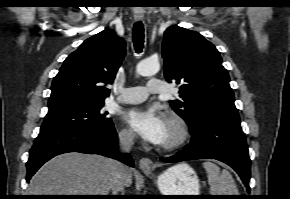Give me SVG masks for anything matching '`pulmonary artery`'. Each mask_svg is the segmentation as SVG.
Instances as JSON below:
<instances>
[{
    "label": "pulmonary artery",
    "mask_w": 290,
    "mask_h": 199,
    "mask_svg": "<svg viewBox=\"0 0 290 199\" xmlns=\"http://www.w3.org/2000/svg\"><path fill=\"white\" fill-rule=\"evenodd\" d=\"M167 86L162 80L152 79L146 87L136 86L121 89L120 102L126 104L139 103L146 100L149 94H163Z\"/></svg>",
    "instance_id": "obj_1"
}]
</instances>
